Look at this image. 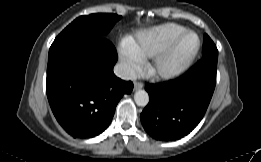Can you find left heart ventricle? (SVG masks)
<instances>
[{"instance_id": "left-heart-ventricle-1", "label": "left heart ventricle", "mask_w": 261, "mask_h": 162, "mask_svg": "<svg viewBox=\"0 0 261 162\" xmlns=\"http://www.w3.org/2000/svg\"><path fill=\"white\" fill-rule=\"evenodd\" d=\"M195 43L196 37L194 35L186 36L183 39V41L179 44L172 58L168 61V65H173L181 61L191 51Z\"/></svg>"}]
</instances>
